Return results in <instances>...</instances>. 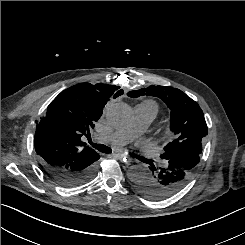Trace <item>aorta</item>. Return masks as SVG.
Segmentation results:
<instances>
[{
    "instance_id": "obj_1",
    "label": "aorta",
    "mask_w": 245,
    "mask_h": 245,
    "mask_svg": "<svg viewBox=\"0 0 245 245\" xmlns=\"http://www.w3.org/2000/svg\"><path fill=\"white\" fill-rule=\"evenodd\" d=\"M105 117L111 126L123 128L131 123L133 112L131 107L125 103H110L105 109ZM148 175L147 169L139 165L131 166L127 173L128 178L135 183Z\"/></svg>"
}]
</instances>
